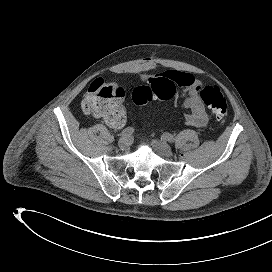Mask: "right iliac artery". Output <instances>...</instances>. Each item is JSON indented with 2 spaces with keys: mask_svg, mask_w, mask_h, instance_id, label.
Listing matches in <instances>:
<instances>
[{
  "mask_svg": "<svg viewBox=\"0 0 272 272\" xmlns=\"http://www.w3.org/2000/svg\"><path fill=\"white\" fill-rule=\"evenodd\" d=\"M133 132H134V129L132 127H127L121 132L120 136L129 137L130 135H132Z\"/></svg>",
  "mask_w": 272,
  "mask_h": 272,
  "instance_id": "obj_1",
  "label": "right iliac artery"
}]
</instances>
